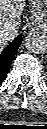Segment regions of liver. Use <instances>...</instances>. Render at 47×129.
Here are the masks:
<instances>
[{"mask_svg": "<svg viewBox=\"0 0 47 129\" xmlns=\"http://www.w3.org/2000/svg\"><path fill=\"white\" fill-rule=\"evenodd\" d=\"M26 0H0V31L12 29L18 32V18L24 11ZM10 41L0 39V49Z\"/></svg>", "mask_w": 47, "mask_h": 129, "instance_id": "6515ba94", "label": "liver"}]
</instances>
